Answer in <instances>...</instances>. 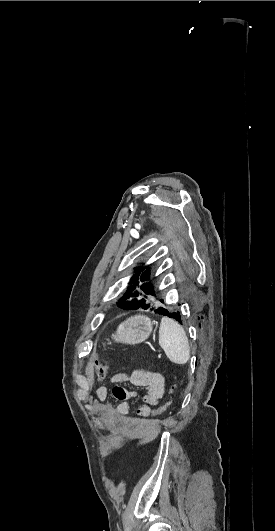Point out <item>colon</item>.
<instances>
[{"instance_id": "colon-1", "label": "colon", "mask_w": 275, "mask_h": 531, "mask_svg": "<svg viewBox=\"0 0 275 531\" xmlns=\"http://www.w3.org/2000/svg\"><path fill=\"white\" fill-rule=\"evenodd\" d=\"M93 368L95 371L96 380L98 382H103L107 377V371H108V363L104 359H96L93 362ZM175 390V385L171 386L169 389V397L163 398L158 404L155 406L153 412L150 415L151 420L156 421L159 418L162 417L166 405L170 403V396L173 394Z\"/></svg>"}]
</instances>
